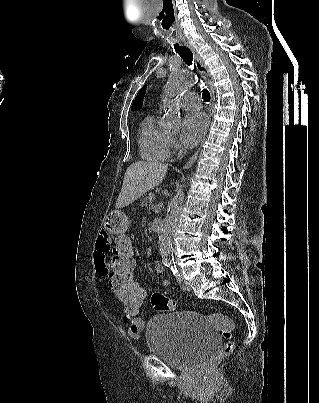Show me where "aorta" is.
Masks as SVG:
<instances>
[{"label":"aorta","instance_id":"aorta-1","mask_svg":"<svg viewBox=\"0 0 319 403\" xmlns=\"http://www.w3.org/2000/svg\"><path fill=\"white\" fill-rule=\"evenodd\" d=\"M196 82L193 75L182 69L173 70L165 85L163 94V107L165 120L173 126L180 122V108L177 100L179 96ZM184 201V192L180 190L172 198L168 206L166 218L159 232V250L163 258L172 255V235L175 231L177 218Z\"/></svg>","mask_w":319,"mask_h":403}]
</instances>
